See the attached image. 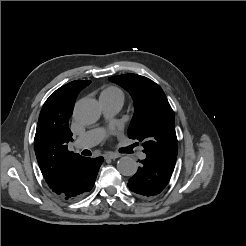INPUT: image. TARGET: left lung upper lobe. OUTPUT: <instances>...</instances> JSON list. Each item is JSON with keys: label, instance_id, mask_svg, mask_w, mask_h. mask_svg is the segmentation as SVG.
Wrapping results in <instances>:
<instances>
[{"label": "left lung upper lobe", "instance_id": "left-lung-upper-lobe-1", "mask_svg": "<svg viewBox=\"0 0 246 246\" xmlns=\"http://www.w3.org/2000/svg\"><path fill=\"white\" fill-rule=\"evenodd\" d=\"M109 81L123 87L133 98L135 113L128 137L143 142L146 155L175 167L178 142L174 114L161 87L137 74L117 75Z\"/></svg>", "mask_w": 246, "mask_h": 246}]
</instances>
